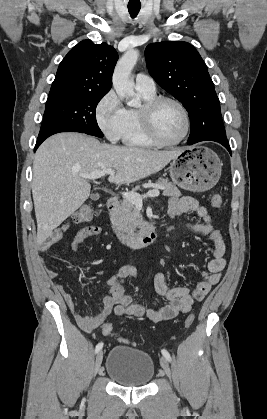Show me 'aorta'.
<instances>
[{
  "mask_svg": "<svg viewBox=\"0 0 267 419\" xmlns=\"http://www.w3.org/2000/svg\"><path fill=\"white\" fill-rule=\"evenodd\" d=\"M139 53L129 50L119 59L113 73V87L120 98H124L131 107H139L141 101L134 92V81L131 72L137 63Z\"/></svg>",
  "mask_w": 267,
  "mask_h": 419,
  "instance_id": "aorta-1",
  "label": "aorta"
}]
</instances>
